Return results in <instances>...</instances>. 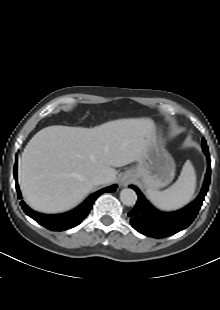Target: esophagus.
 Wrapping results in <instances>:
<instances>
[{
  "label": "esophagus",
  "mask_w": 220,
  "mask_h": 310,
  "mask_svg": "<svg viewBox=\"0 0 220 310\" xmlns=\"http://www.w3.org/2000/svg\"><path fill=\"white\" fill-rule=\"evenodd\" d=\"M132 182V178L130 176L124 175L119 180L120 186H127L129 183Z\"/></svg>",
  "instance_id": "obj_1"
}]
</instances>
